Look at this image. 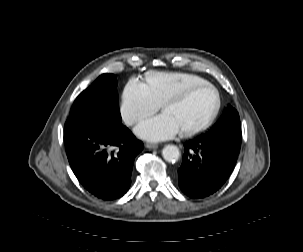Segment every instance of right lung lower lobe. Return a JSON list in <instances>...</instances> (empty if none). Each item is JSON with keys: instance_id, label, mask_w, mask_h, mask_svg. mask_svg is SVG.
<instances>
[{"instance_id": "right-lung-lower-lobe-1", "label": "right lung lower lobe", "mask_w": 303, "mask_h": 252, "mask_svg": "<svg viewBox=\"0 0 303 252\" xmlns=\"http://www.w3.org/2000/svg\"><path fill=\"white\" fill-rule=\"evenodd\" d=\"M64 142L69 164L89 192L113 200L128 191L133 161L143 143L121 121L103 115L69 118Z\"/></svg>"}]
</instances>
